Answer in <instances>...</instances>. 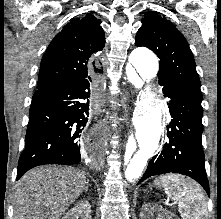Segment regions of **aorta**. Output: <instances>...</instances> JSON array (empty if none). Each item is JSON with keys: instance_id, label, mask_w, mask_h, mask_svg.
<instances>
[{"instance_id": "obj_1", "label": "aorta", "mask_w": 221, "mask_h": 219, "mask_svg": "<svg viewBox=\"0 0 221 219\" xmlns=\"http://www.w3.org/2000/svg\"><path fill=\"white\" fill-rule=\"evenodd\" d=\"M143 80L154 78L159 69L156 55L147 48H136L129 56ZM162 107L156 95L150 91L144 93L135 115V136L139 149L128 145L122 158L119 173L124 184L134 183L143 173L147 160L158 148L162 133Z\"/></svg>"}]
</instances>
